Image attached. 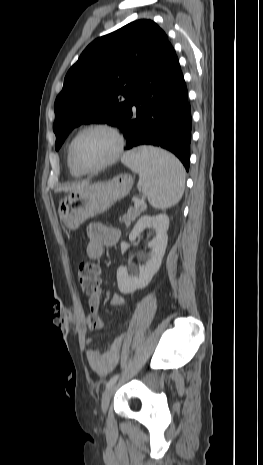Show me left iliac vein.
I'll return each mask as SVG.
<instances>
[{"instance_id": "obj_1", "label": "left iliac vein", "mask_w": 263, "mask_h": 465, "mask_svg": "<svg viewBox=\"0 0 263 465\" xmlns=\"http://www.w3.org/2000/svg\"><path fill=\"white\" fill-rule=\"evenodd\" d=\"M116 388V382L113 383L111 386H109L104 394H103V397H102V402H101V408H102V412L103 414H106L107 410H108V407H109V403H110V399H111V396L114 392Z\"/></svg>"}]
</instances>
